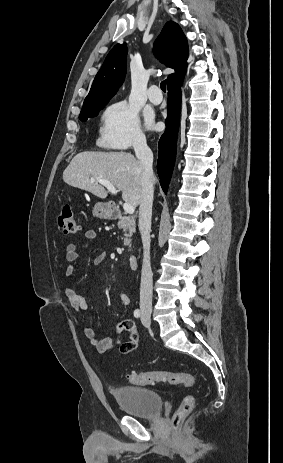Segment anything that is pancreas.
Instances as JSON below:
<instances>
[{
    "label": "pancreas",
    "instance_id": "pancreas-1",
    "mask_svg": "<svg viewBox=\"0 0 283 463\" xmlns=\"http://www.w3.org/2000/svg\"><path fill=\"white\" fill-rule=\"evenodd\" d=\"M118 228L122 229L124 238V245L128 246L131 242V237L136 230V222L134 217H121L117 223Z\"/></svg>",
    "mask_w": 283,
    "mask_h": 463
}]
</instances>
